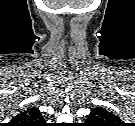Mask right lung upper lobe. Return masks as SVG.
Returning a JSON list of instances; mask_svg holds the SVG:
<instances>
[{
	"instance_id": "obj_1",
	"label": "right lung upper lobe",
	"mask_w": 135,
	"mask_h": 126,
	"mask_svg": "<svg viewBox=\"0 0 135 126\" xmlns=\"http://www.w3.org/2000/svg\"><path fill=\"white\" fill-rule=\"evenodd\" d=\"M44 118L38 108H29L17 114L11 121L12 126H41Z\"/></svg>"
}]
</instances>
